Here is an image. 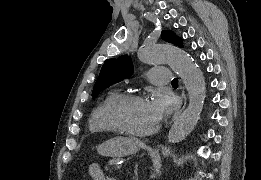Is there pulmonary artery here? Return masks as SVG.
I'll return each instance as SVG.
<instances>
[{
  "mask_svg": "<svg viewBox=\"0 0 261 180\" xmlns=\"http://www.w3.org/2000/svg\"><path fill=\"white\" fill-rule=\"evenodd\" d=\"M149 74L153 83H172L173 81L172 78H163L171 77V67H156V69H150Z\"/></svg>",
  "mask_w": 261,
  "mask_h": 180,
  "instance_id": "1",
  "label": "pulmonary artery"
}]
</instances>
